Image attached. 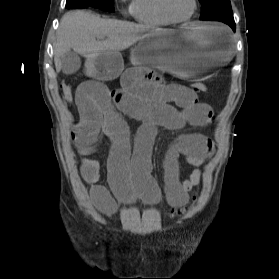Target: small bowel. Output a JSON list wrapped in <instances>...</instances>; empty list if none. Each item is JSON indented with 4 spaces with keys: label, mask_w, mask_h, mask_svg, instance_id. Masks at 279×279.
Segmentation results:
<instances>
[{
    "label": "small bowel",
    "mask_w": 279,
    "mask_h": 279,
    "mask_svg": "<svg viewBox=\"0 0 279 279\" xmlns=\"http://www.w3.org/2000/svg\"><path fill=\"white\" fill-rule=\"evenodd\" d=\"M75 103L79 119L71 134L77 151L86 156L96 150L103 135L110 139L108 182L116 199L124 203L136 197L149 204L161 199V190L151 175V153L159 128L200 127L208 125L214 117L211 106L200 102L190 88L165 83L153 70L143 67L126 69L118 89L99 82L82 83L76 90ZM121 114L142 123L133 144ZM213 153L212 140L199 133L183 134L170 147L164 160V188L170 206L177 208L188 202L189 192L200 183V167ZM181 158L195 167L183 180L179 177ZM80 175L90 185L93 204L102 212H115V199L99 183V162L83 159Z\"/></svg>",
    "instance_id": "small-bowel-1"
}]
</instances>
